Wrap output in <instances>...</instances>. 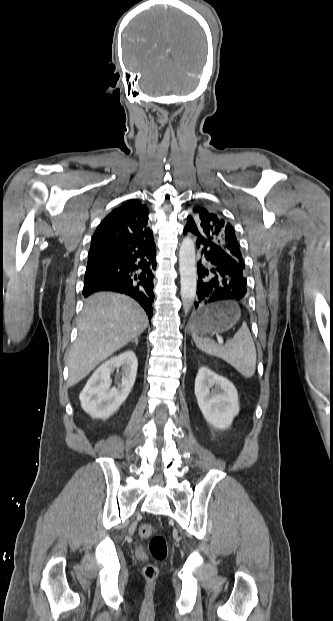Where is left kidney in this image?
<instances>
[{
    "label": "left kidney",
    "instance_id": "left-kidney-1",
    "mask_svg": "<svg viewBox=\"0 0 333 621\" xmlns=\"http://www.w3.org/2000/svg\"><path fill=\"white\" fill-rule=\"evenodd\" d=\"M195 395L205 420L215 429L229 428L239 413L235 386L205 366L198 370Z\"/></svg>",
    "mask_w": 333,
    "mask_h": 621
}]
</instances>
